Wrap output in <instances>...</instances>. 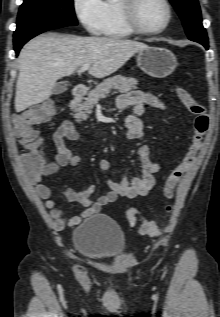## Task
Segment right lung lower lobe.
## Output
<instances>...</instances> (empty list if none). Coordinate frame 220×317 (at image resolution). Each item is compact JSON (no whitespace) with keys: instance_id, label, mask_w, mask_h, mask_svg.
Segmentation results:
<instances>
[{"instance_id":"right-lung-lower-lobe-1","label":"right lung lower lobe","mask_w":220,"mask_h":317,"mask_svg":"<svg viewBox=\"0 0 220 317\" xmlns=\"http://www.w3.org/2000/svg\"><path fill=\"white\" fill-rule=\"evenodd\" d=\"M67 25H61V24H52V25H45V26H40L37 28H34L32 30H30L29 32H27L26 34L22 35L20 38L14 39V49L16 54L19 53V50L21 49V47L31 38H33L34 36L45 32L47 30H51V29H55V28H61Z\"/></svg>"}]
</instances>
